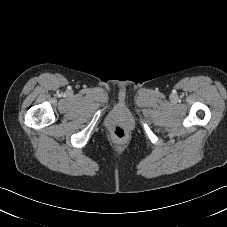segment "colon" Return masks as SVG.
I'll use <instances>...</instances> for the list:
<instances>
[{
	"label": "colon",
	"mask_w": 227,
	"mask_h": 227,
	"mask_svg": "<svg viewBox=\"0 0 227 227\" xmlns=\"http://www.w3.org/2000/svg\"><path fill=\"white\" fill-rule=\"evenodd\" d=\"M115 134H116L117 136H119V137H124V136L126 135V131H125V129L122 128V127H117V128L115 129Z\"/></svg>",
	"instance_id": "5ec220e1"
}]
</instances>
